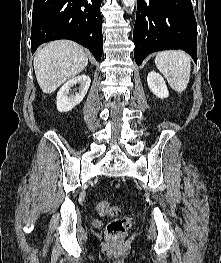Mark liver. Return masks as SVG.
<instances>
[{
  "instance_id": "1",
  "label": "liver",
  "mask_w": 221,
  "mask_h": 263,
  "mask_svg": "<svg viewBox=\"0 0 221 263\" xmlns=\"http://www.w3.org/2000/svg\"><path fill=\"white\" fill-rule=\"evenodd\" d=\"M87 64L84 49L68 40L48 43L37 51L33 62L37 82L46 94L81 73Z\"/></svg>"
}]
</instances>
